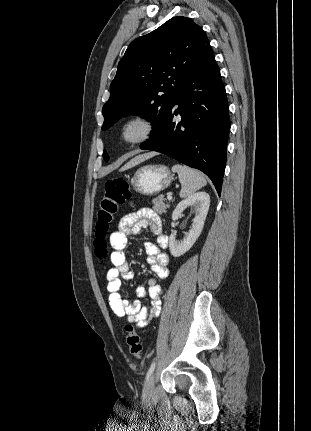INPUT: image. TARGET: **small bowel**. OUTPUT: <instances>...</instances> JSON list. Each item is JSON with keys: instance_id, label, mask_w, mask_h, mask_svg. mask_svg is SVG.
I'll use <instances>...</instances> for the list:
<instances>
[{"instance_id": "small-bowel-1", "label": "small bowel", "mask_w": 311, "mask_h": 431, "mask_svg": "<svg viewBox=\"0 0 311 431\" xmlns=\"http://www.w3.org/2000/svg\"><path fill=\"white\" fill-rule=\"evenodd\" d=\"M146 227L156 238V242L147 241L144 244L148 262L159 279L168 277L169 256L165 252L168 247V237L162 230L161 218L149 208L140 209L121 218L118 229L110 236V244L113 249L110 259L113 267L106 274L108 302L111 310L115 315L126 317L129 322L135 323L138 327L149 325L158 316L163 293V287L155 279H150L148 288L139 286L136 289L138 297L145 295L150 297L149 305L141 306L139 301L129 303L120 294L122 279L132 280L134 277L125 255L128 237Z\"/></svg>"}]
</instances>
